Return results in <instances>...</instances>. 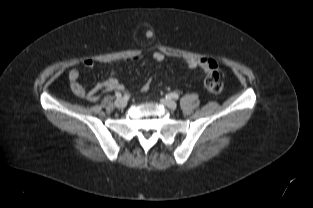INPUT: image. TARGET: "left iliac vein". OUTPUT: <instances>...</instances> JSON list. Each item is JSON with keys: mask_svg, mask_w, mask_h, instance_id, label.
<instances>
[{"mask_svg": "<svg viewBox=\"0 0 313 208\" xmlns=\"http://www.w3.org/2000/svg\"><path fill=\"white\" fill-rule=\"evenodd\" d=\"M161 103H162L165 107H167V108H169V109H172V110L176 109V107H177L176 102L173 101V100H171V99H166V98L161 99Z\"/></svg>", "mask_w": 313, "mask_h": 208, "instance_id": "4c4485c4", "label": "left iliac vein"}]
</instances>
